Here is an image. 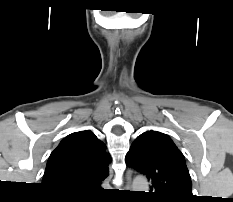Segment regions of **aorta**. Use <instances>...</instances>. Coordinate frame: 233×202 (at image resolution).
I'll list each match as a JSON object with an SVG mask.
<instances>
[{
    "instance_id": "762f6f07",
    "label": "aorta",
    "mask_w": 233,
    "mask_h": 202,
    "mask_svg": "<svg viewBox=\"0 0 233 202\" xmlns=\"http://www.w3.org/2000/svg\"><path fill=\"white\" fill-rule=\"evenodd\" d=\"M133 191H146L148 190V182L145 178H136L133 181Z\"/></svg>"
}]
</instances>
